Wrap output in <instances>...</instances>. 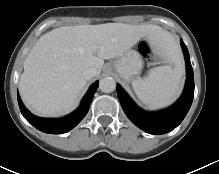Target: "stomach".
<instances>
[{"instance_id":"obj_1","label":"stomach","mask_w":219,"mask_h":174,"mask_svg":"<svg viewBox=\"0 0 219 174\" xmlns=\"http://www.w3.org/2000/svg\"><path fill=\"white\" fill-rule=\"evenodd\" d=\"M143 61L139 52L128 49L114 63V70L126 81H130L138 76L142 70Z\"/></svg>"}]
</instances>
